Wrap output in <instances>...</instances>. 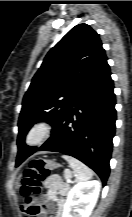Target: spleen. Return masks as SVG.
<instances>
[{
  "instance_id": "3e777b00",
  "label": "spleen",
  "mask_w": 132,
  "mask_h": 217,
  "mask_svg": "<svg viewBox=\"0 0 132 217\" xmlns=\"http://www.w3.org/2000/svg\"><path fill=\"white\" fill-rule=\"evenodd\" d=\"M62 158L65 159L69 163L70 167L74 170L78 182L87 181L92 178L93 176L92 170L88 166H86L83 162L68 155H63Z\"/></svg>"
}]
</instances>
